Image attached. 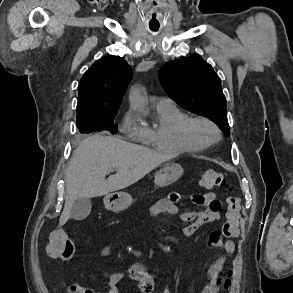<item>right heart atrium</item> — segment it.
I'll return each mask as SVG.
<instances>
[{"mask_svg":"<svg viewBox=\"0 0 293 293\" xmlns=\"http://www.w3.org/2000/svg\"><path fill=\"white\" fill-rule=\"evenodd\" d=\"M122 128L133 136L141 138V126L138 123L137 114L133 110H128L122 120Z\"/></svg>","mask_w":293,"mask_h":293,"instance_id":"obj_1","label":"right heart atrium"}]
</instances>
